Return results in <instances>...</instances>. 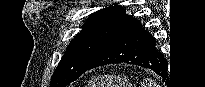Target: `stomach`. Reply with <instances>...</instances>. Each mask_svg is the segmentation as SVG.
Listing matches in <instances>:
<instances>
[{
	"label": "stomach",
	"instance_id": "0dacf381",
	"mask_svg": "<svg viewBox=\"0 0 205 87\" xmlns=\"http://www.w3.org/2000/svg\"><path fill=\"white\" fill-rule=\"evenodd\" d=\"M89 87H132L127 76H99L94 78Z\"/></svg>",
	"mask_w": 205,
	"mask_h": 87
}]
</instances>
